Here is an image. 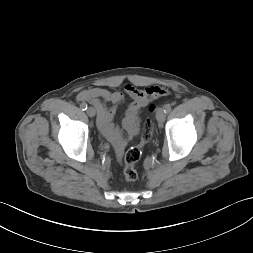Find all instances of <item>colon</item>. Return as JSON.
<instances>
[{
    "mask_svg": "<svg viewBox=\"0 0 253 253\" xmlns=\"http://www.w3.org/2000/svg\"><path fill=\"white\" fill-rule=\"evenodd\" d=\"M159 94H164V90H158ZM152 111L154 107L150 108ZM153 133V124L147 120L143 126L141 140L138 144L130 147L123 159V175L127 181H135L138 177L136 163L139 161L144 145L151 139Z\"/></svg>",
    "mask_w": 253,
    "mask_h": 253,
    "instance_id": "5ec220e1",
    "label": "colon"
}]
</instances>
